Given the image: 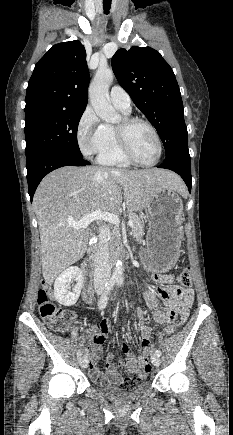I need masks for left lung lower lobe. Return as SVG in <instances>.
Wrapping results in <instances>:
<instances>
[{
	"instance_id": "0a47b994",
	"label": "left lung lower lobe",
	"mask_w": 233,
	"mask_h": 435,
	"mask_svg": "<svg viewBox=\"0 0 233 435\" xmlns=\"http://www.w3.org/2000/svg\"><path fill=\"white\" fill-rule=\"evenodd\" d=\"M158 168L169 169L179 174L185 181L188 190L191 191V158L189 155L188 146L178 148L171 154L167 155L164 162L159 165Z\"/></svg>"
}]
</instances>
